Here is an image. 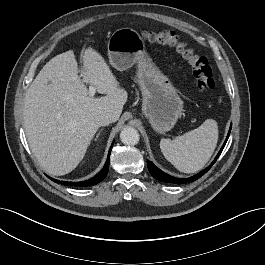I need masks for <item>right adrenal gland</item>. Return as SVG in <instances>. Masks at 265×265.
I'll return each instance as SVG.
<instances>
[{"mask_svg": "<svg viewBox=\"0 0 265 265\" xmlns=\"http://www.w3.org/2000/svg\"><path fill=\"white\" fill-rule=\"evenodd\" d=\"M103 129H101L99 132H98V134H97V136H96V139H95V141L97 140V138L99 137V135H100V133H101V131H102Z\"/></svg>", "mask_w": 265, "mask_h": 265, "instance_id": "1", "label": "right adrenal gland"}]
</instances>
